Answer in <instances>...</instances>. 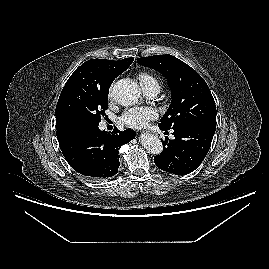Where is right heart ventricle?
<instances>
[{"label": "right heart ventricle", "mask_w": 269, "mask_h": 269, "mask_svg": "<svg viewBox=\"0 0 269 269\" xmlns=\"http://www.w3.org/2000/svg\"><path fill=\"white\" fill-rule=\"evenodd\" d=\"M139 79L141 84L150 82V81H157L151 74L143 72L139 75Z\"/></svg>", "instance_id": "1"}]
</instances>
